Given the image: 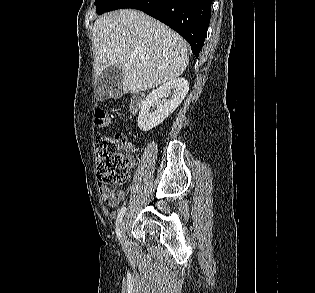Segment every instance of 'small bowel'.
Masks as SVG:
<instances>
[{
    "mask_svg": "<svg viewBox=\"0 0 315 293\" xmlns=\"http://www.w3.org/2000/svg\"><path fill=\"white\" fill-rule=\"evenodd\" d=\"M130 163H133V159H130ZM99 192L103 201L110 207L118 206V204L126 198L128 193L126 190L111 187L102 183L99 184Z\"/></svg>",
    "mask_w": 315,
    "mask_h": 293,
    "instance_id": "obj_1",
    "label": "small bowel"
}]
</instances>
